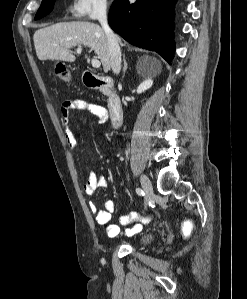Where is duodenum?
<instances>
[{
    "label": "duodenum",
    "instance_id": "duodenum-1",
    "mask_svg": "<svg viewBox=\"0 0 247 299\" xmlns=\"http://www.w3.org/2000/svg\"><path fill=\"white\" fill-rule=\"evenodd\" d=\"M84 83L91 89L109 90L112 86V79L109 77L98 76L89 71L84 73ZM108 109L111 124L114 127L119 126L123 119L122 102L116 94L110 93L108 96Z\"/></svg>",
    "mask_w": 247,
    "mask_h": 299
}]
</instances>
